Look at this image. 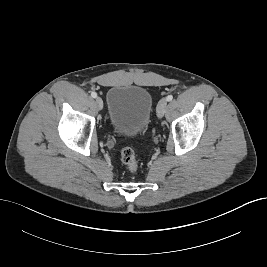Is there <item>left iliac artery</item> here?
<instances>
[{"label":"left iliac artery","instance_id":"left-iliac-artery-1","mask_svg":"<svg viewBox=\"0 0 267 267\" xmlns=\"http://www.w3.org/2000/svg\"><path fill=\"white\" fill-rule=\"evenodd\" d=\"M173 99V96L172 95H168L167 97H166V100L167 101H171Z\"/></svg>","mask_w":267,"mask_h":267}]
</instances>
